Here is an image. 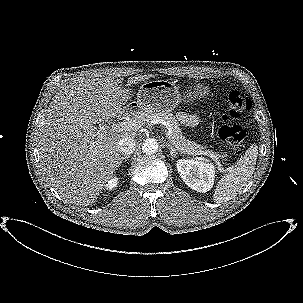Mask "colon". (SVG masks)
<instances>
[{
	"label": "colon",
	"instance_id": "obj_1",
	"mask_svg": "<svg viewBox=\"0 0 303 303\" xmlns=\"http://www.w3.org/2000/svg\"><path fill=\"white\" fill-rule=\"evenodd\" d=\"M251 109V101L236 91L226 97L225 113L222 116L224 125L219 130L220 137L230 146L235 154L243 151L246 133L242 126L235 122Z\"/></svg>",
	"mask_w": 303,
	"mask_h": 303
}]
</instances>
